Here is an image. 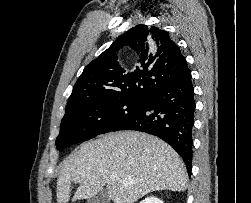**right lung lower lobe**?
<instances>
[{"instance_id": "right-lung-lower-lobe-1", "label": "right lung lower lobe", "mask_w": 251, "mask_h": 203, "mask_svg": "<svg viewBox=\"0 0 251 203\" xmlns=\"http://www.w3.org/2000/svg\"><path fill=\"white\" fill-rule=\"evenodd\" d=\"M196 103L191 73L153 91L143 106L112 131L136 130L158 136L182 157L191 173Z\"/></svg>"}]
</instances>
